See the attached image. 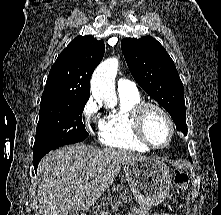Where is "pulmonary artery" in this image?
<instances>
[{
	"mask_svg": "<svg viewBox=\"0 0 221 215\" xmlns=\"http://www.w3.org/2000/svg\"><path fill=\"white\" fill-rule=\"evenodd\" d=\"M117 91L118 93H129L137 91L135 84L127 79H118L117 81Z\"/></svg>",
	"mask_w": 221,
	"mask_h": 215,
	"instance_id": "e3ab8cb5",
	"label": "pulmonary artery"
}]
</instances>
